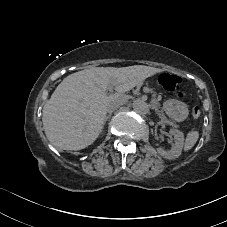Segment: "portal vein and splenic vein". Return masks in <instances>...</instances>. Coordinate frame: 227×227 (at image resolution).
I'll use <instances>...</instances> for the list:
<instances>
[{"label":"portal vein and splenic vein","instance_id":"obj_1","mask_svg":"<svg viewBox=\"0 0 227 227\" xmlns=\"http://www.w3.org/2000/svg\"><path fill=\"white\" fill-rule=\"evenodd\" d=\"M146 93L149 91L145 86L142 88Z\"/></svg>","mask_w":227,"mask_h":227}]
</instances>
